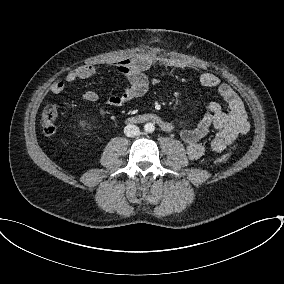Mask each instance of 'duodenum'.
Segmentation results:
<instances>
[{"mask_svg":"<svg viewBox=\"0 0 284 284\" xmlns=\"http://www.w3.org/2000/svg\"><path fill=\"white\" fill-rule=\"evenodd\" d=\"M133 122H153L157 123L164 131H170L172 126L169 122L162 119L160 116L154 113L144 114L141 116L131 118Z\"/></svg>","mask_w":284,"mask_h":284,"instance_id":"obj_1","label":"duodenum"}]
</instances>
